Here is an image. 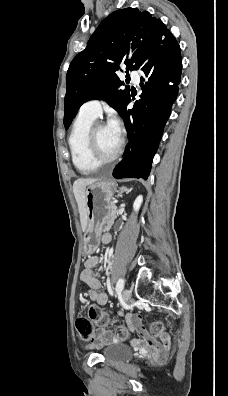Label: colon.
Returning a JSON list of instances; mask_svg holds the SVG:
<instances>
[{
	"label": "colon",
	"mask_w": 228,
	"mask_h": 396,
	"mask_svg": "<svg viewBox=\"0 0 228 396\" xmlns=\"http://www.w3.org/2000/svg\"><path fill=\"white\" fill-rule=\"evenodd\" d=\"M109 318L107 313L99 306L93 305L89 308V318L80 317L76 320V328L83 339L90 340L95 334V325L106 326ZM163 331V324L159 321L153 322L146 332L152 336H159ZM116 336L125 340L128 337L126 328L119 326L115 331Z\"/></svg>",
	"instance_id": "5ec220e1"
}]
</instances>
